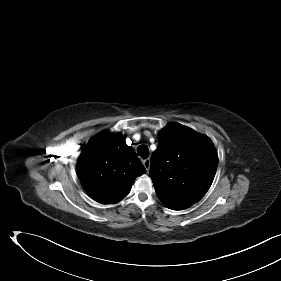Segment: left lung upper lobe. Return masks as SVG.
<instances>
[{
    "mask_svg": "<svg viewBox=\"0 0 281 281\" xmlns=\"http://www.w3.org/2000/svg\"><path fill=\"white\" fill-rule=\"evenodd\" d=\"M158 141L150 167L157 196L170 209H187L213 182L218 165L214 145L207 136L178 123L164 127Z\"/></svg>",
    "mask_w": 281,
    "mask_h": 281,
    "instance_id": "5c2ea615",
    "label": "left lung upper lobe"
}]
</instances>
